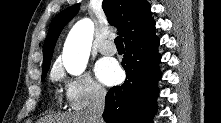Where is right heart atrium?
I'll use <instances>...</instances> for the list:
<instances>
[{
	"mask_svg": "<svg viewBox=\"0 0 221 123\" xmlns=\"http://www.w3.org/2000/svg\"><path fill=\"white\" fill-rule=\"evenodd\" d=\"M53 78L63 83L66 103L74 111L100 104L106 97L104 88L87 73L68 77L60 68H56Z\"/></svg>",
	"mask_w": 221,
	"mask_h": 123,
	"instance_id": "obj_1",
	"label": "right heart atrium"
}]
</instances>
